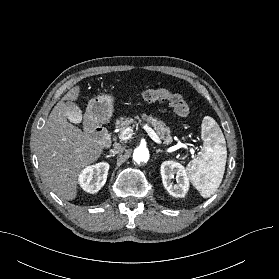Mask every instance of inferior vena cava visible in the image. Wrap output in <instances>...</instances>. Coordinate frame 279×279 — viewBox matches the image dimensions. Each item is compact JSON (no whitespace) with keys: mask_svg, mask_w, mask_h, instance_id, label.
Here are the masks:
<instances>
[{"mask_svg":"<svg viewBox=\"0 0 279 279\" xmlns=\"http://www.w3.org/2000/svg\"><path fill=\"white\" fill-rule=\"evenodd\" d=\"M123 150H124V148L121 145L116 144V145H114V148L110 150V152L113 154H120L123 152Z\"/></svg>","mask_w":279,"mask_h":279,"instance_id":"obj_1","label":"inferior vena cava"}]
</instances>
